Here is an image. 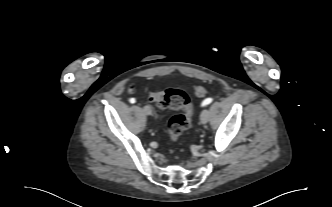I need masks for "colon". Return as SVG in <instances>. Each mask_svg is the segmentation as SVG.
Here are the masks:
<instances>
[{"mask_svg": "<svg viewBox=\"0 0 332 207\" xmlns=\"http://www.w3.org/2000/svg\"><path fill=\"white\" fill-rule=\"evenodd\" d=\"M195 93L197 96H204L207 90L197 87ZM149 99L155 102L160 108L182 111L174 115L168 123L170 140L176 142L181 134L190 126L192 107L189 96L184 91L168 89L162 92L149 93Z\"/></svg>", "mask_w": 332, "mask_h": 207, "instance_id": "5ec220e1", "label": "colon"}]
</instances>
